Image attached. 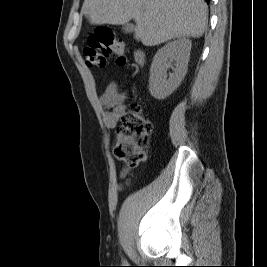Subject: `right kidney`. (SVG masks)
<instances>
[{
	"instance_id": "right-kidney-1",
	"label": "right kidney",
	"mask_w": 267,
	"mask_h": 267,
	"mask_svg": "<svg viewBox=\"0 0 267 267\" xmlns=\"http://www.w3.org/2000/svg\"><path fill=\"white\" fill-rule=\"evenodd\" d=\"M191 46V41L183 38L171 41L157 51L149 77V92L155 99L163 100L179 87L188 69ZM169 68L173 73L167 79Z\"/></svg>"
}]
</instances>
